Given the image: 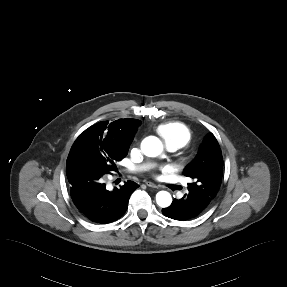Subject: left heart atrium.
I'll use <instances>...</instances> for the list:
<instances>
[{
	"mask_svg": "<svg viewBox=\"0 0 287 287\" xmlns=\"http://www.w3.org/2000/svg\"><path fill=\"white\" fill-rule=\"evenodd\" d=\"M159 171L164 173V174H167V173H170L171 172V168L169 166H161L159 168Z\"/></svg>",
	"mask_w": 287,
	"mask_h": 287,
	"instance_id": "left-heart-atrium-1",
	"label": "left heart atrium"
}]
</instances>
